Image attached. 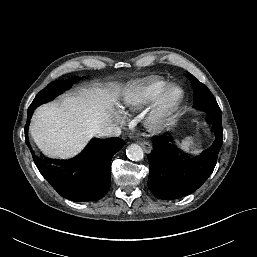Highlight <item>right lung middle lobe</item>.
Returning <instances> with one entry per match:
<instances>
[{"label": "right lung middle lobe", "instance_id": "1", "mask_svg": "<svg viewBox=\"0 0 257 257\" xmlns=\"http://www.w3.org/2000/svg\"><path fill=\"white\" fill-rule=\"evenodd\" d=\"M80 78H73L70 80H59L51 82L46 88L38 93L33 102L31 103L28 111L32 112L34 108L43 102L53 99L56 95L60 94L65 89L69 88L72 83Z\"/></svg>", "mask_w": 257, "mask_h": 257}]
</instances>
